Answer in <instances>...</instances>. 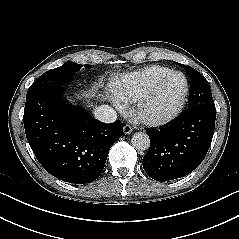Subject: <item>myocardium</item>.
Here are the masks:
<instances>
[{
	"label": "myocardium",
	"instance_id": "1",
	"mask_svg": "<svg viewBox=\"0 0 239 239\" xmlns=\"http://www.w3.org/2000/svg\"><path fill=\"white\" fill-rule=\"evenodd\" d=\"M180 76L183 79L184 87L180 98L178 99L176 105L173 109L161 116H151L148 115L145 111L146 105L149 102L152 95L159 89V87L166 82L168 79ZM189 94V83L187 77L179 71H170L167 74L156 79L150 87L140 96V98L136 101L133 114L135 119L144 125L151 127H159L169 124L176 120L184 110L187 98Z\"/></svg>",
	"mask_w": 239,
	"mask_h": 239
}]
</instances>
